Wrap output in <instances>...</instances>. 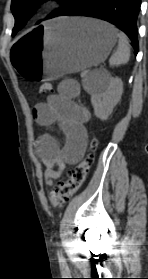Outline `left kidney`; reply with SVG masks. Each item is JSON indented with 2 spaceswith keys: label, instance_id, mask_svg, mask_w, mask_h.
Masks as SVG:
<instances>
[{
  "label": "left kidney",
  "instance_id": "left-kidney-1",
  "mask_svg": "<svg viewBox=\"0 0 148 279\" xmlns=\"http://www.w3.org/2000/svg\"><path fill=\"white\" fill-rule=\"evenodd\" d=\"M122 93L123 82L121 79L112 77L107 72L101 73L91 94L95 116L103 121L107 120L121 100Z\"/></svg>",
  "mask_w": 148,
  "mask_h": 279
}]
</instances>
